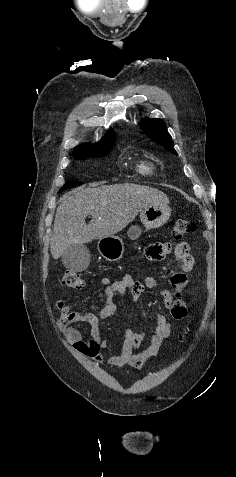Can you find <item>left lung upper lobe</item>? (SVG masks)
Segmentation results:
<instances>
[{"label":"left lung upper lobe","instance_id":"left-lung-upper-lobe-1","mask_svg":"<svg viewBox=\"0 0 236 477\" xmlns=\"http://www.w3.org/2000/svg\"><path fill=\"white\" fill-rule=\"evenodd\" d=\"M142 130L146 135L157 144L166 148L170 153L177 154L170 134L166 129L165 123L158 119H143L140 123Z\"/></svg>","mask_w":236,"mask_h":477}]
</instances>
